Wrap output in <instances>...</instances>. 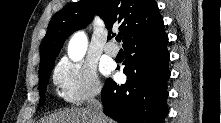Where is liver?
<instances>
[{"instance_id":"liver-1","label":"liver","mask_w":221,"mask_h":123,"mask_svg":"<svg viewBox=\"0 0 221 123\" xmlns=\"http://www.w3.org/2000/svg\"><path fill=\"white\" fill-rule=\"evenodd\" d=\"M43 123H92V119L88 108H80L53 114ZM103 123H112V120L103 115Z\"/></svg>"}]
</instances>
